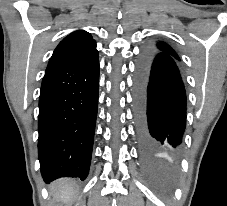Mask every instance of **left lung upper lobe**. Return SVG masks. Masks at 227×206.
I'll use <instances>...</instances> for the list:
<instances>
[{"instance_id":"1","label":"left lung upper lobe","mask_w":227,"mask_h":206,"mask_svg":"<svg viewBox=\"0 0 227 206\" xmlns=\"http://www.w3.org/2000/svg\"><path fill=\"white\" fill-rule=\"evenodd\" d=\"M150 49L156 53L164 54L171 58L180 60L177 53L168 44L164 42H157L156 45L152 46Z\"/></svg>"}]
</instances>
